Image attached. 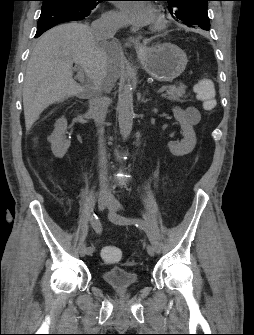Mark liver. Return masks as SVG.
Returning <instances> with one entry per match:
<instances>
[{"label":"liver","instance_id":"obj_1","mask_svg":"<svg viewBox=\"0 0 254 335\" xmlns=\"http://www.w3.org/2000/svg\"><path fill=\"white\" fill-rule=\"evenodd\" d=\"M123 61L117 42L96 40L86 24L66 23L45 32L31 53L24 79L26 128L30 129L50 105L92 93L94 81L102 90L110 91L120 76ZM73 64L84 71L86 85L73 78Z\"/></svg>","mask_w":254,"mask_h":335}]
</instances>
